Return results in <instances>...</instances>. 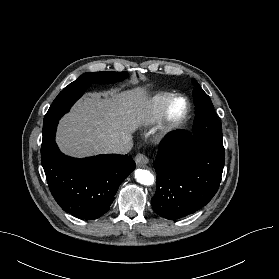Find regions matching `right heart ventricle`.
<instances>
[{"label": "right heart ventricle", "instance_id": "e07e8e85", "mask_svg": "<svg viewBox=\"0 0 279 279\" xmlns=\"http://www.w3.org/2000/svg\"><path fill=\"white\" fill-rule=\"evenodd\" d=\"M174 94L169 92H160L154 95L147 104L143 121L146 124H154L157 121L160 120L162 111L166 105V103L169 101L171 97H173Z\"/></svg>", "mask_w": 279, "mask_h": 279}]
</instances>
